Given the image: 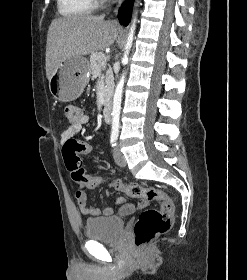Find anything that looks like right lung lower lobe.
<instances>
[{
	"label": "right lung lower lobe",
	"mask_w": 247,
	"mask_h": 280,
	"mask_svg": "<svg viewBox=\"0 0 247 280\" xmlns=\"http://www.w3.org/2000/svg\"><path fill=\"white\" fill-rule=\"evenodd\" d=\"M134 0H126V2L122 5L119 10V19L123 25H128L131 19L132 7Z\"/></svg>",
	"instance_id": "1"
}]
</instances>
